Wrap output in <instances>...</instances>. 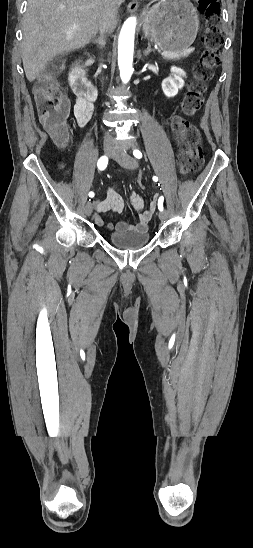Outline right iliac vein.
I'll return each instance as SVG.
<instances>
[{
  "instance_id": "obj_1",
  "label": "right iliac vein",
  "mask_w": 253,
  "mask_h": 548,
  "mask_svg": "<svg viewBox=\"0 0 253 548\" xmlns=\"http://www.w3.org/2000/svg\"><path fill=\"white\" fill-rule=\"evenodd\" d=\"M114 150H115V146H114L113 143H105L104 144V153H105V155L110 156L114 152ZM92 210H93V207H92L91 202H87V204L85 206L86 214L88 216L91 215Z\"/></svg>"
}]
</instances>
